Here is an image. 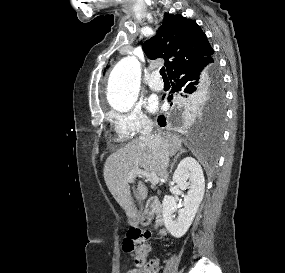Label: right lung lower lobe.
I'll return each instance as SVG.
<instances>
[{
    "label": "right lung lower lobe",
    "instance_id": "right-lung-lower-lobe-1",
    "mask_svg": "<svg viewBox=\"0 0 285 273\" xmlns=\"http://www.w3.org/2000/svg\"><path fill=\"white\" fill-rule=\"evenodd\" d=\"M212 55L202 57L174 70L169 75V79L172 82V92H181V95H184L200 90L212 75L215 66V60ZM171 99L172 96L169 97V100ZM193 103L190 102L187 105L191 106ZM158 124L165 126L166 117L163 115L159 116Z\"/></svg>",
    "mask_w": 285,
    "mask_h": 273
}]
</instances>
